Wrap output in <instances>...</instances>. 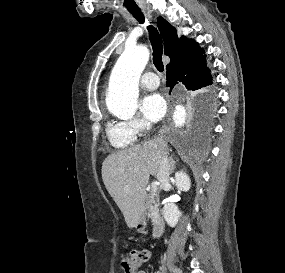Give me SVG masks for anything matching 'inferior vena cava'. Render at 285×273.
Here are the masks:
<instances>
[{"label": "inferior vena cava", "instance_id": "602c4592", "mask_svg": "<svg viewBox=\"0 0 285 273\" xmlns=\"http://www.w3.org/2000/svg\"><path fill=\"white\" fill-rule=\"evenodd\" d=\"M147 130H150V123L146 124ZM171 170L170 160L168 159L167 153H162L159 158V172L157 179L160 182L161 187L169 185V175Z\"/></svg>", "mask_w": 285, "mask_h": 273}]
</instances>
